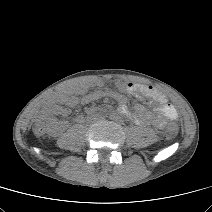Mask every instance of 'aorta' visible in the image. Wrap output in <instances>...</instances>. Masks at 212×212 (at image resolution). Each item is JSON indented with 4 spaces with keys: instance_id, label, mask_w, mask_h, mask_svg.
<instances>
[{
    "instance_id": "762f6f07",
    "label": "aorta",
    "mask_w": 212,
    "mask_h": 212,
    "mask_svg": "<svg viewBox=\"0 0 212 212\" xmlns=\"http://www.w3.org/2000/svg\"><path fill=\"white\" fill-rule=\"evenodd\" d=\"M110 118H111L112 121L118 122V121L121 120L122 115H121L120 112L114 111V112L111 113Z\"/></svg>"
}]
</instances>
